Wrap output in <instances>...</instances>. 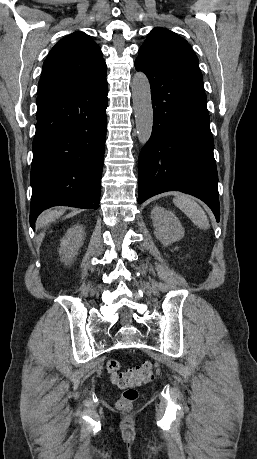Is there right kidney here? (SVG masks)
I'll return each instance as SVG.
<instances>
[{
  "instance_id": "right-kidney-1",
  "label": "right kidney",
  "mask_w": 257,
  "mask_h": 459,
  "mask_svg": "<svg viewBox=\"0 0 257 459\" xmlns=\"http://www.w3.org/2000/svg\"><path fill=\"white\" fill-rule=\"evenodd\" d=\"M85 232L82 226L76 225L68 229L67 233L61 240L59 254L62 260L68 264L77 254L78 249L83 245Z\"/></svg>"
}]
</instances>
